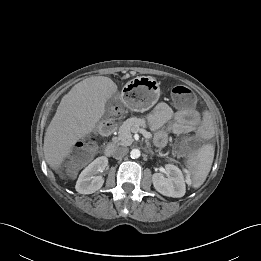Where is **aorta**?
<instances>
[{
  "instance_id": "1",
  "label": "aorta",
  "mask_w": 261,
  "mask_h": 261,
  "mask_svg": "<svg viewBox=\"0 0 261 261\" xmlns=\"http://www.w3.org/2000/svg\"><path fill=\"white\" fill-rule=\"evenodd\" d=\"M140 155H141V152H140L139 149H132L131 152H130V156H131V158H133V159L139 158Z\"/></svg>"
}]
</instances>
